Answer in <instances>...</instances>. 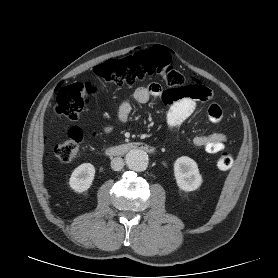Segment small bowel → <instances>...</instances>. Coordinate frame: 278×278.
<instances>
[{
    "label": "small bowel",
    "instance_id": "small-bowel-1",
    "mask_svg": "<svg viewBox=\"0 0 278 278\" xmlns=\"http://www.w3.org/2000/svg\"><path fill=\"white\" fill-rule=\"evenodd\" d=\"M202 95L199 98L181 96L178 98L170 97V90L164 91L160 84L151 83L146 87H138L129 98L122 100L117 105L118 118L121 122H127L132 109V103L145 104L151 98H162L170 104L167 115V125L171 131H176L194 113L199 100H212L213 94L210 89L200 85ZM210 121L217 123L223 118V111L217 103H211L208 108ZM111 131V127L105 129L106 133ZM228 136L225 133L217 132L208 135L195 136L192 143L196 147L203 148L207 153L215 154L222 151Z\"/></svg>",
    "mask_w": 278,
    "mask_h": 278
}]
</instances>
